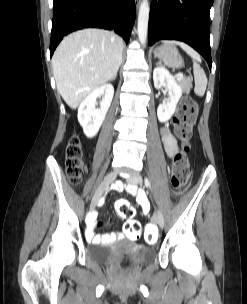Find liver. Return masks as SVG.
Returning a JSON list of instances; mask_svg holds the SVG:
<instances>
[{"mask_svg":"<svg viewBox=\"0 0 247 304\" xmlns=\"http://www.w3.org/2000/svg\"><path fill=\"white\" fill-rule=\"evenodd\" d=\"M171 43L194 52L184 43ZM122 52V38L103 29H83L61 41L52 67L57 90L70 108L76 109L94 89L114 79Z\"/></svg>","mask_w":247,"mask_h":304,"instance_id":"liver-1","label":"liver"}]
</instances>
